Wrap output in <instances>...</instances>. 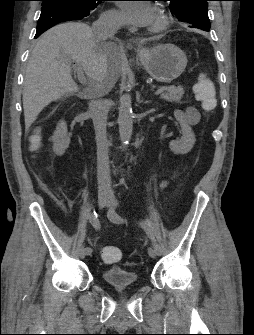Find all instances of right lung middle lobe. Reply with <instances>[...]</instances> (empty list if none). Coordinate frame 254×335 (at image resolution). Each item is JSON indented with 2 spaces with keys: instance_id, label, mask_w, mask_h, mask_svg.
Returning <instances> with one entry per match:
<instances>
[{
  "instance_id": "dd1d6c3e",
  "label": "right lung middle lobe",
  "mask_w": 254,
  "mask_h": 335,
  "mask_svg": "<svg viewBox=\"0 0 254 335\" xmlns=\"http://www.w3.org/2000/svg\"><path fill=\"white\" fill-rule=\"evenodd\" d=\"M42 6L51 3H67L79 9L94 10L102 0H41Z\"/></svg>"
}]
</instances>
